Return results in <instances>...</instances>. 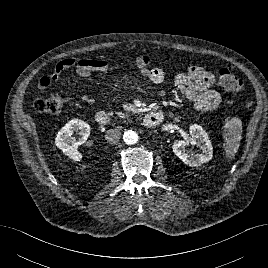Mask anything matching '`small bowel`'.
<instances>
[{
  "label": "small bowel",
  "instance_id": "small-bowel-1",
  "mask_svg": "<svg viewBox=\"0 0 268 268\" xmlns=\"http://www.w3.org/2000/svg\"><path fill=\"white\" fill-rule=\"evenodd\" d=\"M137 73L155 84L165 80V71L160 67H151L149 55L142 54L135 58ZM110 62L105 58H65L57 63L50 76L41 77L37 83V90L43 92L52 81L57 80L65 71L72 70L82 79L88 78L94 72H107ZM174 83L181 93L191 102L197 110L210 111L219 102V94L212 88L213 75L202 67L191 66L186 72H178L174 76ZM82 100L93 104V96L84 94Z\"/></svg>",
  "mask_w": 268,
  "mask_h": 268
}]
</instances>
